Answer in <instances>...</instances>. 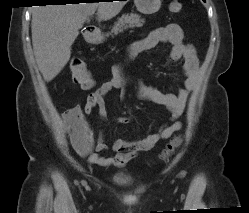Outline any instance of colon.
Segmentation results:
<instances>
[{"label":"colon","instance_id":"1","mask_svg":"<svg viewBox=\"0 0 249 213\" xmlns=\"http://www.w3.org/2000/svg\"><path fill=\"white\" fill-rule=\"evenodd\" d=\"M170 10L173 12H181L182 11V4L177 0H172L170 2ZM70 72L73 82L80 87L87 89L93 86V79L89 75L86 65L84 61L79 57H74L70 61ZM71 135H74L78 138L76 130L72 129L70 131ZM181 140L179 137L173 138L162 153L163 159H168L175 150L179 147Z\"/></svg>","mask_w":249,"mask_h":213}]
</instances>
